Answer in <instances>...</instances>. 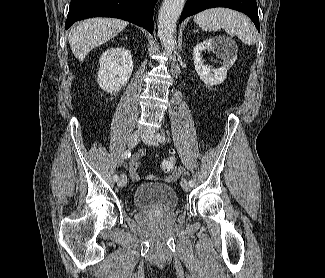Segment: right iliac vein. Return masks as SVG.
<instances>
[{"mask_svg":"<svg viewBox=\"0 0 325 278\" xmlns=\"http://www.w3.org/2000/svg\"><path fill=\"white\" fill-rule=\"evenodd\" d=\"M141 138V131H135L134 133L131 134L128 140V147L133 148L137 145ZM127 184V177L125 174H121L120 179L118 181V186L123 188Z\"/></svg>","mask_w":325,"mask_h":278,"instance_id":"obj_1","label":"right iliac vein"}]
</instances>
